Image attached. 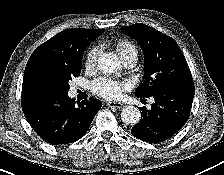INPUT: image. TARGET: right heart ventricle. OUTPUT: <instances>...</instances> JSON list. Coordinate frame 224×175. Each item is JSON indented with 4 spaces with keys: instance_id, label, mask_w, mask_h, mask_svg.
Masks as SVG:
<instances>
[{
    "instance_id": "e07e8e85",
    "label": "right heart ventricle",
    "mask_w": 224,
    "mask_h": 175,
    "mask_svg": "<svg viewBox=\"0 0 224 175\" xmlns=\"http://www.w3.org/2000/svg\"><path fill=\"white\" fill-rule=\"evenodd\" d=\"M115 47L121 59L129 54L137 55V49L135 45L131 43L130 41H127V40L118 41Z\"/></svg>"
}]
</instances>
